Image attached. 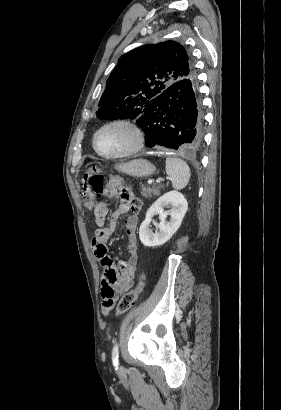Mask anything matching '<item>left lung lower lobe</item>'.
I'll list each match as a JSON object with an SVG mask.
<instances>
[{"label":"left lung lower lobe","instance_id":"left-lung-lower-lobe-1","mask_svg":"<svg viewBox=\"0 0 281 410\" xmlns=\"http://www.w3.org/2000/svg\"><path fill=\"white\" fill-rule=\"evenodd\" d=\"M137 124L146 146L196 150L203 141V114L196 77L173 83L152 99Z\"/></svg>","mask_w":281,"mask_h":410}]
</instances>
